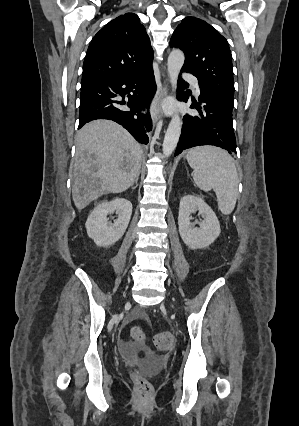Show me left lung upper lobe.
<instances>
[{"instance_id":"5c2ea615","label":"left lung upper lobe","mask_w":299,"mask_h":426,"mask_svg":"<svg viewBox=\"0 0 299 426\" xmlns=\"http://www.w3.org/2000/svg\"><path fill=\"white\" fill-rule=\"evenodd\" d=\"M170 46L185 54L182 70L192 73L203 86L233 102L232 56L221 34L201 19L186 17L173 32Z\"/></svg>"}]
</instances>
